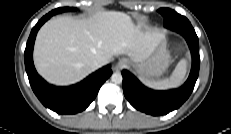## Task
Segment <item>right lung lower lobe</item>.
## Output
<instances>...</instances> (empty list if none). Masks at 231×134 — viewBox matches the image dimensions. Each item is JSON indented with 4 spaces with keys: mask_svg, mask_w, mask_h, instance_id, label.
Segmentation results:
<instances>
[{
    "mask_svg": "<svg viewBox=\"0 0 231 134\" xmlns=\"http://www.w3.org/2000/svg\"><path fill=\"white\" fill-rule=\"evenodd\" d=\"M51 16L53 15L48 13L33 27L24 53L25 68L34 93L45 107L60 114H75L85 110L96 98L112 70L110 65L104 66L83 81L70 86H55L44 81L33 64V47L39 28Z\"/></svg>",
    "mask_w": 231,
    "mask_h": 134,
    "instance_id": "obj_1",
    "label": "right lung lower lobe"
}]
</instances>
